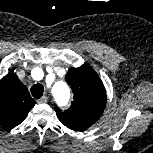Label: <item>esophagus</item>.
Masks as SVG:
<instances>
[{"instance_id": "1", "label": "esophagus", "mask_w": 153, "mask_h": 153, "mask_svg": "<svg viewBox=\"0 0 153 153\" xmlns=\"http://www.w3.org/2000/svg\"><path fill=\"white\" fill-rule=\"evenodd\" d=\"M48 98L46 96L41 97L37 100V103H47Z\"/></svg>"}]
</instances>
